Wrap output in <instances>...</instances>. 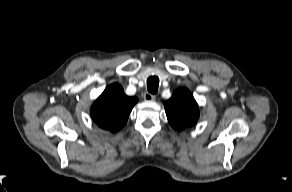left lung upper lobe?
<instances>
[{
    "label": "left lung upper lobe",
    "mask_w": 292,
    "mask_h": 192,
    "mask_svg": "<svg viewBox=\"0 0 292 192\" xmlns=\"http://www.w3.org/2000/svg\"><path fill=\"white\" fill-rule=\"evenodd\" d=\"M164 106L169 124L178 131L195 125L199 118L198 104L186 88L177 89Z\"/></svg>",
    "instance_id": "left-lung-upper-lobe-1"
}]
</instances>
